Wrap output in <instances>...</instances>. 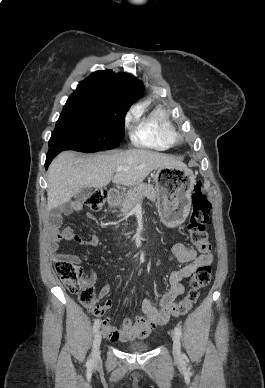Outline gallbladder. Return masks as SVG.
Returning <instances> with one entry per match:
<instances>
[{
  "mask_svg": "<svg viewBox=\"0 0 265 388\" xmlns=\"http://www.w3.org/2000/svg\"><path fill=\"white\" fill-rule=\"evenodd\" d=\"M90 190L91 188H83L81 192H78V194H76V200H87V198H89L90 196Z\"/></svg>",
  "mask_w": 265,
  "mask_h": 388,
  "instance_id": "1",
  "label": "gallbladder"
}]
</instances>
